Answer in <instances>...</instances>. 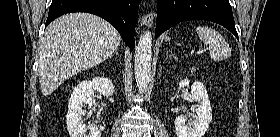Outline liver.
Instances as JSON below:
<instances>
[{"label": "liver", "mask_w": 280, "mask_h": 137, "mask_svg": "<svg viewBox=\"0 0 280 137\" xmlns=\"http://www.w3.org/2000/svg\"><path fill=\"white\" fill-rule=\"evenodd\" d=\"M121 36L104 19L71 13L53 21L41 40L39 81L47 96L65 80L100 64L120 46Z\"/></svg>", "instance_id": "obj_1"}]
</instances>
